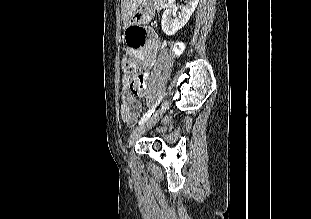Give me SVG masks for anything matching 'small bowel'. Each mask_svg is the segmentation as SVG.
I'll use <instances>...</instances> for the list:
<instances>
[{
    "mask_svg": "<svg viewBox=\"0 0 311 219\" xmlns=\"http://www.w3.org/2000/svg\"><path fill=\"white\" fill-rule=\"evenodd\" d=\"M132 27L127 30V36L129 35ZM160 41L153 33L140 42L138 45L128 43L127 53L139 60L143 65H150L157 54ZM130 78L124 76L122 78V102L120 105V116L122 120L128 124H133L141 113L142 106L139 100L136 98V94L132 93L129 86Z\"/></svg>",
    "mask_w": 311,
    "mask_h": 219,
    "instance_id": "obj_1",
    "label": "small bowel"
}]
</instances>
